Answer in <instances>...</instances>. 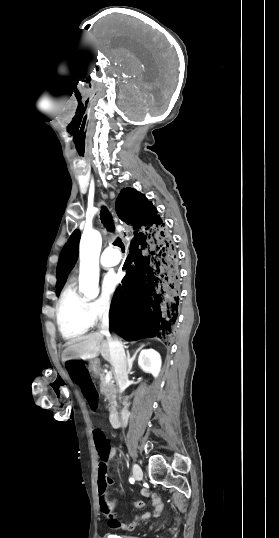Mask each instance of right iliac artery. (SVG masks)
<instances>
[{
    "label": "right iliac artery",
    "instance_id": "82829eb1",
    "mask_svg": "<svg viewBox=\"0 0 279 538\" xmlns=\"http://www.w3.org/2000/svg\"><path fill=\"white\" fill-rule=\"evenodd\" d=\"M129 481H130L131 484H133V483H134V478L131 477V478L129 479Z\"/></svg>",
    "mask_w": 279,
    "mask_h": 538
}]
</instances>
